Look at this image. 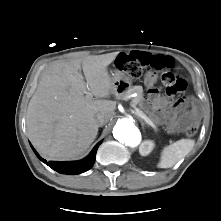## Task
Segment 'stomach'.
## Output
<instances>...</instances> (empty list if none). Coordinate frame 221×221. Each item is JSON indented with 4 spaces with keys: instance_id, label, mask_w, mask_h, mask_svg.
Wrapping results in <instances>:
<instances>
[{
    "instance_id": "stomach-1",
    "label": "stomach",
    "mask_w": 221,
    "mask_h": 221,
    "mask_svg": "<svg viewBox=\"0 0 221 221\" xmlns=\"http://www.w3.org/2000/svg\"><path fill=\"white\" fill-rule=\"evenodd\" d=\"M112 84L114 92L118 96H123L128 89L131 88L130 79L121 71L116 70L112 76Z\"/></svg>"
}]
</instances>
